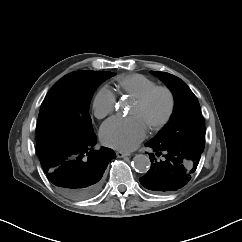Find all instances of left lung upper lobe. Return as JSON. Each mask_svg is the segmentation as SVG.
I'll list each match as a JSON object with an SVG mask.
<instances>
[{
	"label": "left lung upper lobe",
	"instance_id": "1",
	"mask_svg": "<svg viewBox=\"0 0 242 242\" xmlns=\"http://www.w3.org/2000/svg\"><path fill=\"white\" fill-rule=\"evenodd\" d=\"M151 73L169 87L175 100L168 124L151 141L171 147H189L202 153L205 127L196 96L180 78L166 72Z\"/></svg>",
	"mask_w": 242,
	"mask_h": 242
}]
</instances>
